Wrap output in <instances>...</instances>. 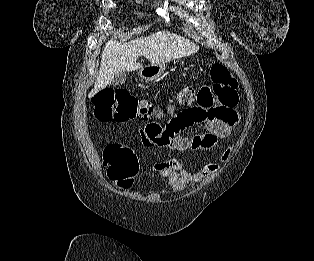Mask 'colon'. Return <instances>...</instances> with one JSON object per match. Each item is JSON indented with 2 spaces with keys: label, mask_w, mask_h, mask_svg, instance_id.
<instances>
[{
  "label": "colon",
  "mask_w": 314,
  "mask_h": 261,
  "mask_svg": "<svg viewBox=\"0 0 314 261\" xmlns=\"http://www.w3.org/2000/svg\"><path fill=\"white\" fill-rule=\"evenodd\" d=\"M210 80V84L198 89L184 88L178 95V102L186 107H212L236 100L237 82L224 65L212 64ZM93 105L94 115L101 122L137 120L148 123V129H152L161 116L150 101L138 99L125 88L100 89L93 98ZM103 160L109 178L117 185L128 187L132 184L139 170L138 156L133 149L121 142L109 143L104 147Z\"/></svg>",
  "instance_id": "colon-1"
}]
</instances>
